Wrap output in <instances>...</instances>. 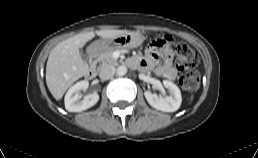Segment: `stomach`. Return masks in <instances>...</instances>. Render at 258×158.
Masks as SVG:
<instances>
[{
  "mask_svg": "<svg viewBox=\"0 0 258 158\" xmlns=\"http://www.w3.org/2000/svg\"><path fill=\"white\" fill-rule=\"evenodd\" d=\"M144 41V36L140 32H128L113 38L100 39L92 43L99 52H105L110 49H121V48H136L140 46Z\"/></svg>",
  "mask_w": 258,
  "mask_h": 158,
  "instance_id": "obj_1",
  "label": "stomach"
}]
</instances>
